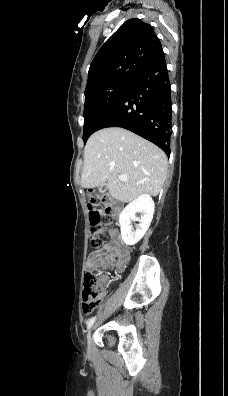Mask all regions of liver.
<instances>
[{
    "label": "liver",
    "instance_id": "obj_1",
    "mask_svg": "<svg viewBox=\"0 0 228 396\" xmlns=\"http://www.w3.org/2000/svg\"><path fill=\"white\" fill-rule=\"evenodd\" d=\"M167 163L159 147L133 132L119 127L101 129L84 148L82 187L105 184L113 198L126 203L142 194L155 197L165 182ZM119 175L127 180H119Z\"/></svg>",
    "mask_w": 228,
    "mask_h": 396
}]
</instances>
